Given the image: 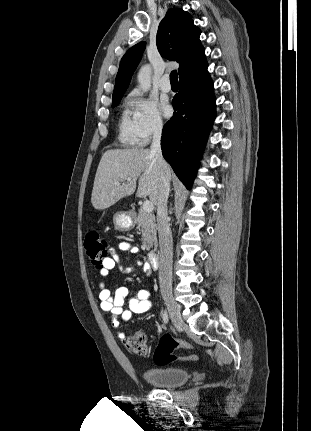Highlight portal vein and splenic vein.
<instances>
[{"label":"portal vein and splenic vein","mask_w":311,"mask_h":431,"mask_svg":"<svg viewBox=\"0 0 311 431\" xmlns=\"http://www.w3.org/2000/svg\"><path fill=\"white\" fill-rule=\"evenodd\" d=\"M127 182H130V180H127ZM116 184H119V182H116ZM142 208L144 212H147V214H151V212L154 210V206L152 202H149V200H145V202H143Z\"/></svg>","instance_id":"1"}]
</instances>
